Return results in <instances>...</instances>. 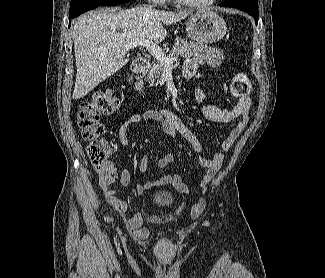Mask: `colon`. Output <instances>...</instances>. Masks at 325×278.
<instances>
[{"instance_id":"obj_1","label":"colon","mask_w":325,"mask_h":278,"mask_svg":"<svg viewBox=\"0 0 325 278\" xmlns=\"http://www.w3.org/2000/svg\"><path fill=\"white\" fill-rule=\"evenodd\" d=\"M251 90V82L243 73H237L231 83L234 96L247 95ZM120 105V100L108 91L94 93L90 98L83 100L77 111V124L82 132V137L88 142L87 154L91 164L96 169H102L112 152V146L107 140H102L104 128L99 122L101 115L114 112ZM199 207L195 209V213Z\"/></svg>"}]
</instances>
